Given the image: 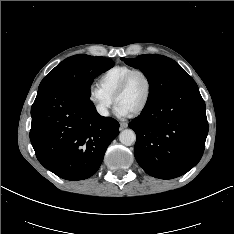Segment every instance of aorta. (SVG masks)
<instances>
[{"label": "aorta", "instance_id": "1", "mask_svg": "<svg viewBox=\"0 0 234 234\" xmlns=\"http://www.w3.org/2000/svg\"><path fill=\"white\" fill-rule=\"evenodd\" d=\"M120 142L125 146H131L136 140V134L131 129H125L119 134Z\"/></svg>", "mask_w": 234, "mask_h": 234}]
</instances>
